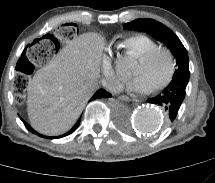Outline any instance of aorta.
<instances>
[{
	"mask_svg": "<svg viewBox=\"0 0 215 183\" xmlns=\"http://www.w3.org/2000/svg\"><path fill=\"white\" fill-rule=\"evenodd\" d=\"M131 59L124 57L117 61V68L127 70L131 67ZM164 122L163 112L156 107L145 106L138 109L133 117L134 127L144 133H154Z\"/></svg>",
	"mask_w": 215,
	"mask_h": 183,
	"instance_id": "aorta-1",
	"label": "aorta"
}]
</instances>
